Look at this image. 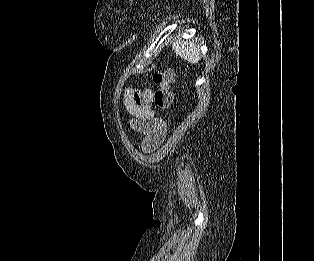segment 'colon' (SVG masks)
I'll list each match as a JSON object with an SVG mask.
<instances>
[{
	"instance_id": "obj_1",
	"label": "colon",
	"mask_w": 314,
	"mask_h": 261,
	"mask_svg": "<svg viewBox=\"0 0 314 261\" xmlns=\"http://www.w3.org/2000/svg\"><path fill=\"white\" fill-rule=\"evenodd\" d=\"M175 74L173 69L166 68L156 71L153 75V81L157 85L153 101L157 108L167 110L173 101V95L170 89L174 82Z\"/></svg>"
}]
</instances>
